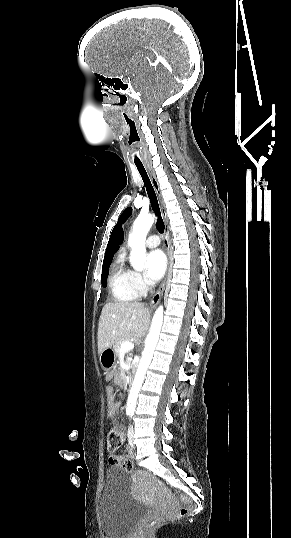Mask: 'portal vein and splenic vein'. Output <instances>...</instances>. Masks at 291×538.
<instances>
[{
    "instance_id": "1",
    "label": "portal vein and splenic vein",
    "mask_w": 291,
    "mask_h": 538,
    "mask_svg": "<svg viewBox=\"0 0 291 538\" xmlns=\"http://www.w3.org/2000/svg\"><path fill=\"white\" fill-rule=\"evenodd\" d=\"M134 348V343L126 341L121 345V351H129Z\"/></svg>"
}]
</instances>
